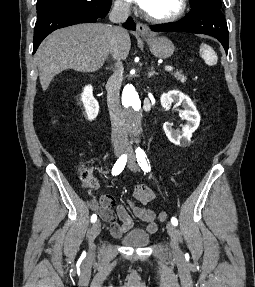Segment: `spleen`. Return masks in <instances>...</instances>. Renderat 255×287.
<instances>
[{
  "instance_id": "3e777b00",
  "label": "spleen",
  "mask_w": 255,
  "mask_h": 287,
  "mask_svg": "<svg viewBox=\"0 0 255 287\" xmlns=\"http://www.w3.org/2000/svg\"><path fill=\"white\" fill-rule=\"evenodd\" d=\"M200 52L207 66H215V64H217V54H215L214 50H212L210 46H207V44H201Z\"/></svg>"
}]
</instances>
